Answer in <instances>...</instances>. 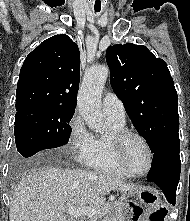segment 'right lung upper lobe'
Here are the masks:
<instances>
[{
  "label": "right lung upper lobe",
  "mask_w": 190,
  "mask_h": 221,
  "mask_svg": "<svg viewBox=\"0 0 190 221\" xmlns=\"http://www.w3.org/2000/svg\"><path fill=\"white\" fill-rule=\"evenodd\" d=\"M80 80V52L67 35L42 42L25 59L16 90L17 112L47 106L74 109Z\"/></svg>",
  "instance_id": "obj_1"
}]
</instances>
